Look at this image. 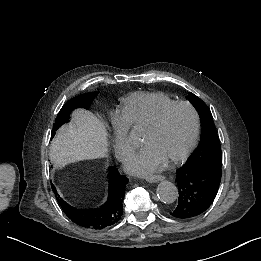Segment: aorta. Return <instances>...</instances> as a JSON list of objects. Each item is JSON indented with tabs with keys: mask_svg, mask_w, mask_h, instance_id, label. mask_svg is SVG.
Wrapping results in <instances>:
<instances>
[{
	"mask_svg": "<svg viewBox=\"0 0 261 261\" xmlns=\"http://www.w3.org/2000/svg\"><path fill=\"white\" fill-rule=\"evenodd\" d=\"M157 196L161 202L171 204L178 198V189L172 182L163 181L158 184Z\"/></svg>",
	"mask_w": 261,
	"mask_h": 261,
	"instance_id": "1",
	"label": "aorta"
}]
</instances>
